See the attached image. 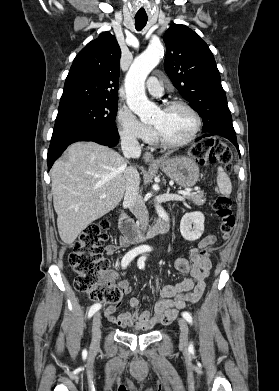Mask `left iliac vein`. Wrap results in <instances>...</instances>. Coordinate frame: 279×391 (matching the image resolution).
I'll list each match as a JSON object with an SVG mask.
<instances>
[{"mask_svg": "<svg viewBox=\"0 0 279 391\" xmlns=\"http://www.w3.org/2000/svg\"><path fill=\"white\" fill-rule=\"evenodd\" d=\"M178 324H179V327H180V337H179L180 347L183 348V349H187L188 343H189V340H188V335H189L188 324H187L186 320L183 319V318H179L178 319Z\"/></svg>", "mask_w": 279, "mask_h": 391, "instance_id": "left-iliac-vein-1", "label": "left iliac vein"}]
</instances>
